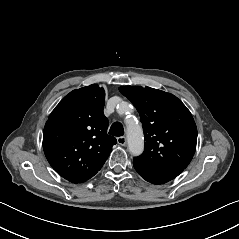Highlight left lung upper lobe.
<instances>
[{
	"label": "left lung upper lobe",
	"instance_id": "1",
	"mask_svg": "<svg viewBox=\"0 0 239 239\" xmlns=\"http://www.w3.org/2000/svg\"><path fill=\"white\" fill-rule=\"evenodd\" d=\"M140 114L145 149L134 162L157 168L185 169L193 158L197 127L190 111L174 95L151 87L121 86Z\"/></svg>",
	"mask_w": 239,
	"mask_h": 239
}]
</instances>
